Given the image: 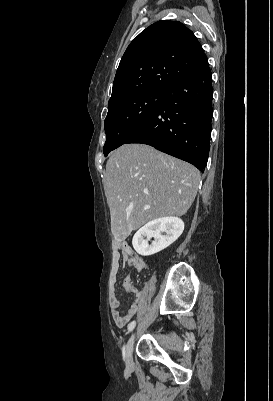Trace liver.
<instances>
[{
	"label": "liver",
	"mask_w": 273,
	"mask_h": 401,
	"mask_svg": "<svg viewBox=\"0 0 273 401\" xmlns=\"http://www.w3.org/2000/svg\"><path fill=\"white\" fill-rule=\"evenodd\" d=\"M199 180L195 166L149 144H123L113 150L106 164L104 190L115 241H125L152 219L185 215ZM146 205L149 209H144Z\"/></svg>",
	"instance_id": "obj_1"
}]
</instances>
